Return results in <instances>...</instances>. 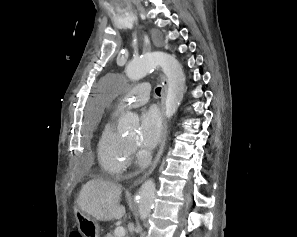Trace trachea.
<instances>
[{
  "instance_id": "trachea-1",
  "label": "trachea",
  "mask_w": 297,
  "mask_h": 237,
  "mask_svg": "<svg viewBox=\"0 0 297 237\" xmlns=\"http://www.w3.org/2000/svg\"><path fill=\"white\" fill-rule=\"evenodd\" d=\"M160 93H161V87L156 88V94H157L158 96H160Z\"/></svg>"
}]
</instances>
